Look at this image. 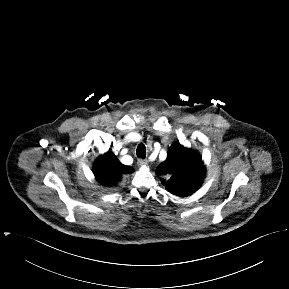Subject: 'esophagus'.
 <instances>
[{"label":"esophagus","mask_w":289,"mask_h":289,"mask_svg":"<svg viewBox=\"0 0 289 289\" xmlns=\"http://www.w3.org/2000/svg\"><path fill=\"white\" fill-rule=\"evenodd\" d=\"M138 166L142 167V166H147L148 165V161L145 159H139L137 162Z\"/></svg>","instance_id":"esophagus-1"}]
</instances>
